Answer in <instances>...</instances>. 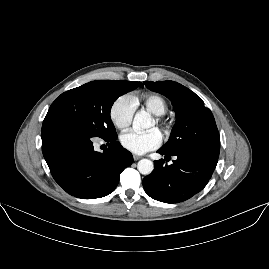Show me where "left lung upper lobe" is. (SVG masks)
Returning a JSON list of instances; mask_svg holds the SVG:
<instances>
[{"label":"left lung upper lobe","instance_id":"left-lung-upper-lobe-1","mask_svg":"<svg viewBox=\"0 0 269 269\" xmlns=\"http://www.w3.org/2000/svg\"><path fill=\"white\" fill-rule=\"evenodd\" d=\"M143 83L167 97L174 107L176 122L165 149L219 157V132L212 112L199 96L174 81Z\"/></svg>","mask_w":269,"mask_h":269}]
</instances>
